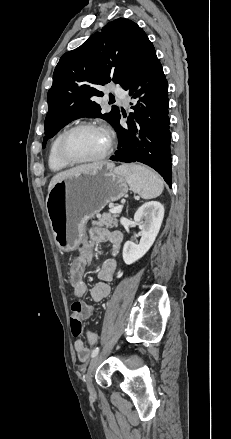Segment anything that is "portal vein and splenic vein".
Wrapping results in <instances>:
<instances>
[{
	"mask_svg": "<svg viewBox=\"0 0 231 439\" xmlns=\"http://www.w3.org/2000/svg\"><path fill=\"white\" fill-rule=\"evenodd\" d=\"M122 208V206L113 207L109 210V212L112 214H119L122 212Z\"/></svg>",
	"mask_w": 231,
	"mask_h": 439,
	"instance_id": "1",
	"label": "portal vein and splenic vein"
}]
</instances>
